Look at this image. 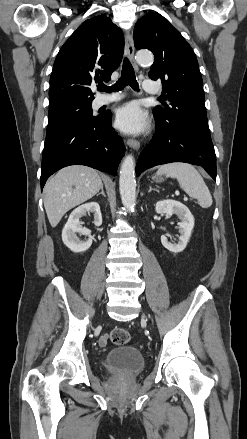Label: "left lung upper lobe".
<instances>
[{"instance_id": "1", "label": "left lung upper lobe", "mask_w": 247, "mask_h": 439, "mask_svg": "<svg viewBox=\"0 0 247 439\" xmlns=\"http://www.w3.org/2000/svg\"><path fill=\"white\" fill-rule=\"evenodd\" d=\"M134 44L138 50L146 48L153 52L149 77L162 82L163 100L170 102L169 106L154 108L156 122L189 123L210 132L197 58L179 31L159 13L147 14L135 25Z\"/></svg>"}]
</instances>
